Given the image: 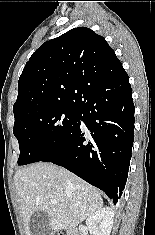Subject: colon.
I'll list each match as a JSON object with an SVG mask.
<instances>
[{"label":"colon","mask_w":155,"mask_h":235,"mask_svg":"<svg viewBox=\"0 0 155 235\" xmlns=\"http://www.w3.org/2000/svg\"><path fill=\"white\" fill-rule=\"evenodd\" d=\"M50 235H61V234H59V233H52V234H50Z\"/></svg>","instance_id":"1"}]
</instances>
